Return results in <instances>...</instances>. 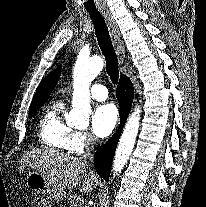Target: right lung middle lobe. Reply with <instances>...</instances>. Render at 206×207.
<instances>
[{
  "instance_id": "dd1d6c3e",
  "label": "right lung middle lobe",
  "mask_w": 206,
  "mask_h": 207,
  "mask_svg": "<svg viewBox=\"0 0 206 207\" xmlns=\"http://www.w3.org/2000/svg\"><path fill=\"white\" fill-rule=\"evenodd\" d=\"M41 106H38V107H35V108H31L29 109V117H33L36 115L38 109L40 108Z\"/></svg>"
}]
</instances>
